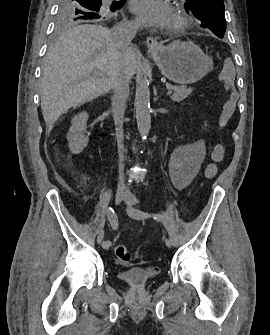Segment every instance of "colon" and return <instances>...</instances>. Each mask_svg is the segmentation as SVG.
Instances as JSON below:
<instances>
[{
	"mask_svg": "<svg viewBox=\"0 0 270 335\" xmlns=\"http://www.w3.org/2000/svg\"><path fill=\"white\" fill-rule=\"evenodd\" d=\"M222 68H221V81H222V88L223 89H234L235 83L233 82V75H234V68H235V58L234 57H222L221 58ZM220 108L224 109L223 112L218 113V118L220 120V125H226V119L231 118L232 111L231 109L235 108V103L231 102V98H226V102L220 103ZM217 147H222V142H217ZM214 155H225L226 149L225 148H214L213 149ZM215 163H226L227 157L226 156H215L214 157ZM215 172V167L210 166L206 174L207 176L212 175ZM115 254L117 259L121 263H129L131 261V254L128 248L123 245L119 244L115 248Z\"/></svg>",
	"mask_w": 270,
	"mask_h": 335,
	"instance_id": "obj_1",
	"label": "colon"
}]
</instances>
